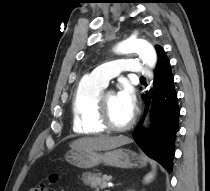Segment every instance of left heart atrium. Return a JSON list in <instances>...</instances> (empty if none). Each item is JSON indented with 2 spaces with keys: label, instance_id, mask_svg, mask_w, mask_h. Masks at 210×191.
<instances>
[{
  "label": "left heart atrium",
  "instance_id": "obj_1",
  "mask_svg": "<svg viewBox=\"0 0 210 191\" xmlns=\"http://www.w3.org/2000/svg\"><path fill=\"white\" fill-rule=\"evenodd\" d=\"M118 102L131 114H133L136 107V97L133 88L124 83L121 85L117 93Z\"/></svg>",
  "mask_w": 210,
  "mask_h": 191
}]
</instances>
